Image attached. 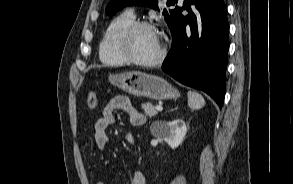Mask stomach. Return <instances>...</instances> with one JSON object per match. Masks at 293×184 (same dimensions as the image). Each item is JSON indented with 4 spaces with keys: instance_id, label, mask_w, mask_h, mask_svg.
<instances>
[{
    "instance_id": "obj_1",
    "label": "stomach",
    "mask_w": 293,
    "mask_h": 184,
    "mask_svg": "<svg viewBox=\"0 0 293 184\" xmlns=\"http://www.w3.org/2000/svg\"><path fill=\"white\" fill-rule=\"evenodd\" d=\"M108 80L112 85L138 97L163 100L179 96V92L165 79L140 71H129L110 75Z\"/></svg>"
}]
</instances>
